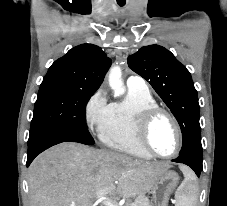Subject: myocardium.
Instances as JSON below:
<instances>
[{"mask_svg":"<svg viewBox=\"0 0 227 206\" xmlns=\"http://www.w3.org/2000/svg\"><path fill=\"white\" fill-rule=\"evenodd\" d=\"M166 116L174 126L177 136V145L174 152L168 155H163L156 152L150 144L149 141V134L150 129L155 121V119L160 116ZM136 138L139 145L142 147L144 151H146L151 156L162 158V159H169L175 157L181 150L183 144V135L181 127L176 119V117L167 109L160 107V106H152L145 110H143L137 117L136 120Z\"/></svg>","mask_w":227,"mask_h":206,"instance_id":"f54148a6","label":"myocardium"}]
</instances>
